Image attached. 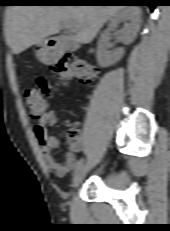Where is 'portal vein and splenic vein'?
I'll return each mask as SVG.
<instances>
[{"label":"portal vein and splenic vein","mask_w":170,"mask_h":231,"mask_svg":"<svg viewBox=\"0 0 170 231\" xmlns=\"http://www.w3.org/2000/svg\"><path fill=\"white\" fill-rule=\"evenodd\" d=\"M64 26H65V28H67L70 31H75V29L70 24H65Z\"/></svg>","instance_id":"18ae733b"}]
</instances>
